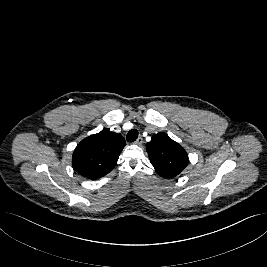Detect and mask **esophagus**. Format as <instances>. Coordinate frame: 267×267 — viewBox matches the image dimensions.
Returning a JSON list of instances; mask_svg holds the SVG:
<instances>
[{
    "instance_id": "1",
    "label": "esophagus",
    "mask_w": 267,
    "mask_h": 267,
    "mask_svg": "<svg viewBox=\"0 0 267 267\" xmlns=\"http://www.w3.org/2000/svg\"><path fill=\"white\" fill-rule=\"evenodd\" d=\"M142 143H143L142 137H138L137 140L135 141V144H137V145H141Z\"/></svg>"
}]
</instances>
